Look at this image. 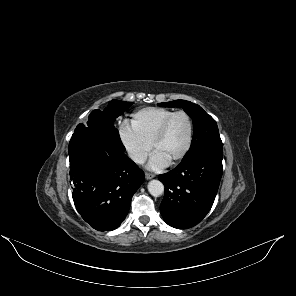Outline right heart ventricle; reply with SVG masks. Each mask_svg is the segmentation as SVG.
<instances>
[{
    "label": "right heart ventricle",
    "instance_id": "1",
    "mask_svg": "<svg viewBox=\"0 0 296 296\" xmlns=\"http://www.w3.org/2000/svg\"><path fill=\"white\" fill-rule=\"evenodd\" d=\"M173 110L162 107L143 108L132 115L131 128L148 144L152 140L161 123Z\"/></svg>",
    "mask_w": 296,
    "mask_h": 296
}]
</instances>
